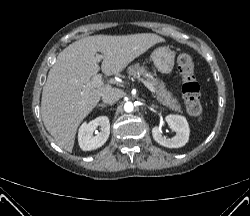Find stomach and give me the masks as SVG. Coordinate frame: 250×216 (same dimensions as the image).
I'll return each instance as SVG.
<instances>
[{
  "instance_id": "1",
  "label": "stomach",
  "mask_w": 250,
  "mask_h": 216,
  "mask_svg": "<svg viewBox=\"0 0 250 216\" xmlns=\"http://www.w3.org/2000/svg\"><path fill=\"white\" fill-rule=\"evenodd\" d=\"M152 61L157 70L163 74L173 71L175 54L167 47H159L152 52Z\"/></svg>"
}]
</instances>
